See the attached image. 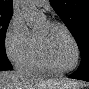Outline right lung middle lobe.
<instances>
[{
	"label": "right lung middle lobe",
	"mask_w": 89,
	"mask_h": 89,
	"mask_svg": "<svg viewBox=\"0 0 89 89\" xmlns=\"http://www.w3.org/2000/svg\"><path fill=\"white\" fill-rule=\"evenodd\" d=\"M13 11H6L0 9V56L5 52V34L12 17Z\"/></svg>",
	"instance_id": "dd1d6c3e"
}]
</instances>
